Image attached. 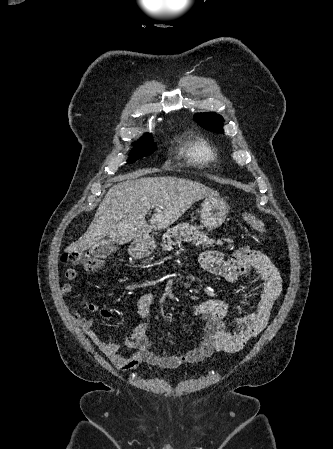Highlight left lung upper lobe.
Returning a JSON list of instances; mask_svg holds the SVG:
<instances>
[{"label": "left lung upper lobe", "instance_id": "5c2ea615", "mask_svg": "<svg viewBox=\"0 0 333 449\" xmlns=\"http://www.w3.org/2000/svg\"><path fill=\"white\" fill-rule=\"evenodd\" d=\"M195 121L198 122L203 127L216 132V133H223V118L220 115H217L215 113H200L195 115L194 117Z\"/></svg>", "mask_w": 333, "mask_h": 449}]
</instances>
